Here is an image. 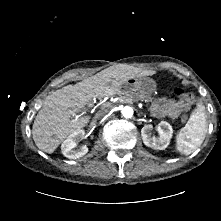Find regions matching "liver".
<instances>
[{"instance_id":"liver-1","label":"liver","mask_w":221,"mask_h":221,"mask_svg":"<svg viewBox=\"0 0 221 221\" xmlns=\"http://www.w3.org/2000/svg\"><path fill=\"white\" fill-rule=\"evenodd\" d=\"M135 74L133 70L112 66L52 92L45 98L32 126L36 146L53 153L68 135L89 123L90 116L82 112L93 98L118 93L122 84Z\"/></svg>"}]
</instances>
